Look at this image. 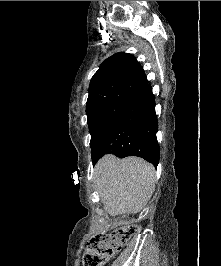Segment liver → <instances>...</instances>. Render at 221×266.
<instances>
[{"instance_id":"1","label":"liver","mask_w":221,"mask_h":266,"mask_svg":"<svg viewBox=\"0 0 221 266\" xmlns=\"http://www.w3.org/2000/svg\"><path fill=\"white\" fill-rule=\"evenodd\" d=\"M93 181L111 216L138 213L155 191V168L138 157L108 154L96 164Z\"/></svg>"}]
</instances>
